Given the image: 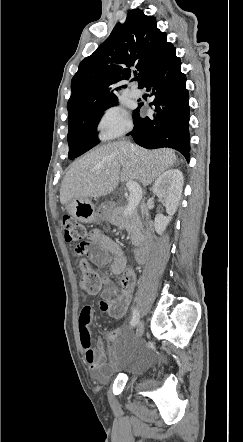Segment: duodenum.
<instances>
[{"label":"duodenum","instance_id":"410a0bca","mask_svg":"<svg viewBox=\"0 0 243 442\" xmlns=\"http://www.w3.org/2000/svg\"><path fill=\"white\" fill-rule=\"evenodd\" d=\"M152 228L150 226L146 227V233L147 235L149 233H151ZM150 244L149 241L147 240L145 243L141 244L140 246H138L135 251H134V258L135 261L139 264L141 263H145L148 259V256L150 254Z\"/></svg>","mask_w":243,"mask_h":442}]
</instances>
